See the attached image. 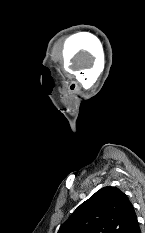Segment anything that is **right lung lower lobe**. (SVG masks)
<instances>
[{"instance_id":"right-lung-lower-lobe-1","label":"right lung lower lobe","mask_w":145,"mask_h":233,"mask_svg":"<svg viewBox=\"0 0 145 233\" xmlns=\"http://www.w3.org/2000/svg\"><path fill=\"white\" fill-rule=\"evenodd\" d=\"M130 233H141L138 221L136 222L135 226L133 227V229Z\"/></svg>"}]
</instances>
